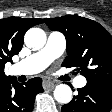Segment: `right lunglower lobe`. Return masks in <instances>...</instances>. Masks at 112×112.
Masks as SVG:
<instances>
[{"mask_svg": "<svg viewBox=\"0 0 112 112\" xmlns=\"http://www.w3.org/2000/svg\"><path fill=\"white\" fill-rule=\"evenodd\" d=\"M43 91L41 78L24 85L9 80L0 88V112H32L36 94Z\"/></svg>", "mask_w": 112, "mask_h": 112, "instance_id": "obj_1", "label": "right lung lower lobe"}]
</instances>
